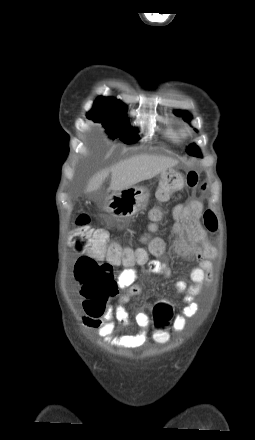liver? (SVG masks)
<instances>
[{
	"label": "liver",
	"mask_w": 255,
	"mask_h": 440,
	"mask_svg": "<svg viewBox=\"0 0 255 440\" xmlns=\"http://www.w3.org/2000/svg\"><path fill=\"white\" fill-rule=\"evenodd\" d=\"M177 163V160L165 156L146 154L134 156L117 163L110 169H104L95 174L89 180L86 192L97 191L109 173H111L110 190L117 192L132 187L141 181L152 179Z\"/></svg>",
	"instance_id": "1"
}]
</instances>
